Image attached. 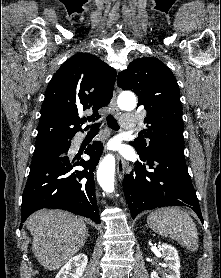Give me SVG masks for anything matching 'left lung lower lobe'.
Returning a JSON list of instances; mask_svg holds the SVG:
<instances>
[{"instance_id": "left-lung-lower-lobe-1", "label": "left lung lower lobe", "mask_w": 221, "mask_h": 278, "mask_svg": "<svg viewBox=\"0 0 221 278\" xmlns=\"http://www.w3.org/2000/svg\"><path fill=\"white\" fill-rule=\"evenodd\" d=\"M124 177L123 191L134 219L138 213L165 206H187L203 222L196 192L188 174L184 149L163 147L148 156Z\"/></svg>"}]
</instances>
